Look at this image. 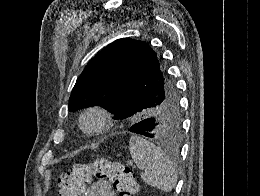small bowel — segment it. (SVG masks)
Returning <instances> with one entry per match:
<instances>
[{
    "label": "small bowel",
    "mask_w": 260,
    "mask_h": 196,
    "mask_svg": "<svg viewBox=\"0 0 260 196\" xmlns=\"http://www.w3.org/2000/svg\"><path fill=\"white\" fill-rule=\"evenodd\" d=\"M85 196H115L111 184L107 180L99 179L90 183L84 190Z\"/></svg>",
    "instance_id": "small-bowel-1"
}]
</instances>
